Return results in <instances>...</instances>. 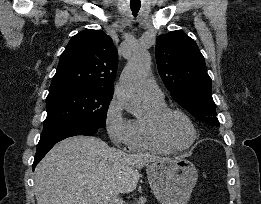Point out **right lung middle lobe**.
<instances>
[{
  "instance_id": "dd1d6c3e",
  "label": "right lung middle lobe",
  "mask_w": 261,
  "mask_h": 204,
  "mask_svg": "<svg viewBox=\"0 0 261 204\" xmlns=\"http://www.w3.org/2000/svg\"><path fill=\"white\" fill-rule=\"evenodd\" d=\"M113 93L91 89L66 90L46 98L47 117L43 132L51 129L92 125L106 126V115Z\"/></svg>"
}]
</instances>
